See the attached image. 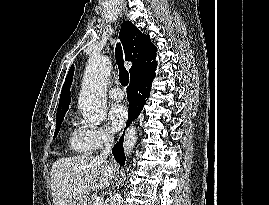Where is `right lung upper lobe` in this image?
I'll list each match as a JSON object with an SVG mask.
<instances>
[{
  "mask_svg": "<svg viewBox=\"0 0 269 205\" xmlns=\"http://www.w3.org/2000/svg\"><path fill=\"white\" fill-rule=\"evenodd\" d=\"M119 38L123 44L125 58L133 63L129 69L131 80L145 74L155 72L157 63L151 62L156 57L157 48L149 36L142 34L130 21H124L121 26ZM74 74L72 65L65 79L56 118L65 116L70 104V86Z\"/></svg>",
  "mask_w": 269,
  "mask_h": 205,
  "instance_id": "right-lung-upper-lobe-1",
  "label": "right lung upper lobe"
}]
</instances>
